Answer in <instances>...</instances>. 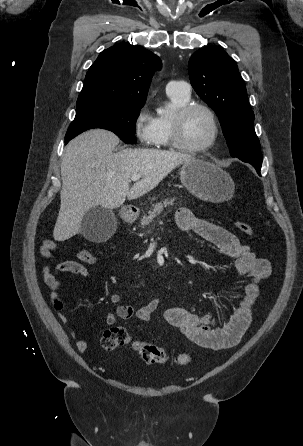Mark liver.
I'll return each mask as SVG.
<instances>
[{
  "label": "liver",
  "mask_w": 303,
  "mask_h": 446,
  "mask_svg": "<svg viewBox=\"0 0 303 446\" xmlns=\"http://www.w3.org/2000/svg\"><path fill=\"white\" fill-rule=\"evenodd\" d=\"M119 138L95 129L74 138L61 162L60 210L54 227L56 241L80 231L84 215L97 206L112 210L126 200L137 199L154 189L191 155L155 149H124L113 153ZM133 175H141L130 188Z\"/></svg>",
  "instance_id": "obj_1"
}]
</instances>
